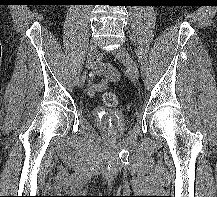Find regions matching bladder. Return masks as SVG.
I'll use <instances>...</instances> for the list:
<instances>
[{
  "label": "bladder",
  "mask_w": 217,
  "mask_h": 197,
  "mask_svg": "<svg viewBox=\"0 0 217 197\" xmlns=\"http://www.w3.org/2000/svg\"><path fill=\"white\" fill-rule=\"evenodd\" d=\"M93 117L103 130L110 133L121 132L126 125L124 114L117 109L96 107L93 111Z\"/></svg>",
  "instance_id": "obj_1"
}]
</instances>
